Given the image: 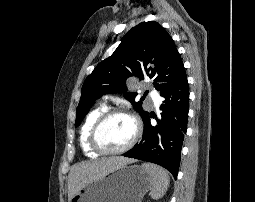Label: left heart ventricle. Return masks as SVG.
I'll list each match as a JSON object with an SVG mask.
<instances>
[{
	"label": "left heart ventricle",
	"instance_id": "obj_1",
	"mask_svg": "<svg viewBox=\"0 0 255 202\" xmlns=\"http://www.w3.org/2000/svg\"><path fill=\"white\" fill-rule=\"evenodd\" d=\"M134 134V124L126 116H114L107 120L98 133V141L108 150L124 147Z\"/></svg>",
	"mask_w": 255,
	"mask_h": 202
}]
</instances>
